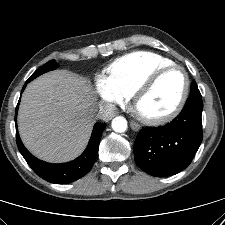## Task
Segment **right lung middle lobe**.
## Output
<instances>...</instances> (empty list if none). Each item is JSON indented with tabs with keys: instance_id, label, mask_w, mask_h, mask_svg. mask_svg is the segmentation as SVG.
I'll return each mask as SVG.
<instances>
[{
	"instance_id": "1",
	"label": "right lung middle lobe",
	"mask_w": 225,
	"mask_h": 225,
	"mask_svg": "<svg viewBox=\"0 0 225 225\" xmlns=\"http://www.w3.org/2000/svg\"><path fill=\"white\" fill-rule=\"evenodd\" d=\"M56 67H58V64H56V61L55 60H51L49 62H47L46 64H44L42 67H40L39 69H37L31 76L28 80H33L34 78H36L37 76L45 73V72H48V71H51V70H54Z\"/></svg>"
}]
</instances>
